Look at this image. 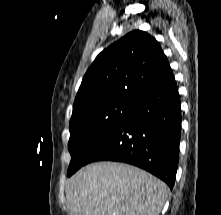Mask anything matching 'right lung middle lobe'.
Segmentation results:
<instances>
[{
  "label": "right lung middle lobe",
  "mask_w": 221,
  "mask_h": 215,
  "mask_svg": "<svg viewBox=\"0 0 221 215\" xmlns=\"http://www.w3.org/2000/svg\"><path fill=\"white\" fill-rule=\"evenodd\" d=\"M133 102L106 100L73 107L68 148V176L85 165L91 153L130 111Z\"/></svg>",
  "instance_id": "right-lung-middle-lobe-1"
}]
</instances>
